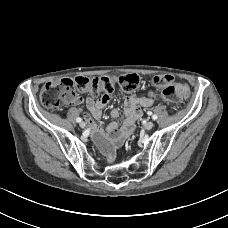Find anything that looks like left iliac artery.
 I'll use <instances>...</instances> for the list:
<instances>
[{"label":"left iliac artery","mask_w":228,"mask_h":228,"mask_svg":"<svg viewBox=\"0 0 228 228\" xmlns=\"http://www.w3.org/2000/svg\"><path fill=\"white\" fill-rule=\"evenodd\" d=\"M152 119H153V120H156V119H157V115H153V116H152Z\"/></svg>","instance_id":"1"}]
</instances>
